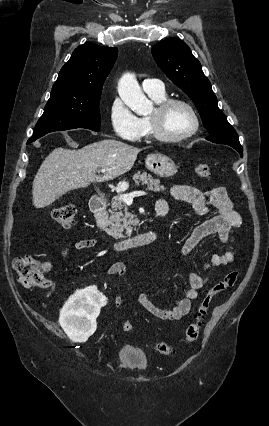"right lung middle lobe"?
I'll list each match as a JSON object with an SVG mask.
<instances>
[{
	"label": "right lung middle lobe",
	"mask_w": 269,
	"mask_h": 426,
	"mask_svg": "<svg viewBox=\"0 0 269 426\" xmlns=\"http://www.w3.org/2000/svg\"><path fill=\"white\" fill-rule=\"evenodd\" d=\"M100 96L73 97L65 92L52 93L28 143L53 131L87 128L98 132Z\"/></svg>",
	"instance_id": "obj_1"
}]
</instances>
